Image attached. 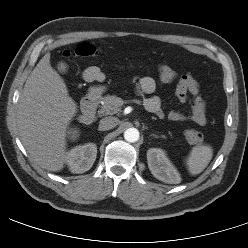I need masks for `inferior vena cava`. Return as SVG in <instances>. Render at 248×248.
<instances>
[{
  "label": "inferior vena cava",
  "mask_w": 248,
  "mask_h": 248,
  "mask_svg": "<svg viewBox=\"0 0 248 248\" xmlns=\"http://www.w3.org/2000/svg\"><path fill=\"white\" fill-rule=\"evenodd\" d=\"M119 120L116 117H105L99 122V130L105 131L110 130L118 125Z\"/></svg>",
  "instance_id": "602c4592"
}]
</instances>
